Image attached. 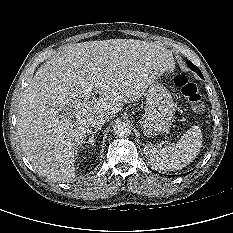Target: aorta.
Returning a JSON list of instances; mask_svg holds the SVG:
<instances>
[{
    "instance_id": "1",
    "label": "aorta",
    "mask_w": 233,
    "mask_h": 233,
    "mask_svg": "<svg viewBox=\"0 0 233 233\" xmlns=\"http://www.w3.org/2000/svg\"><path fill=\"white\" fill-rule=\"evenodd\" d=\"M113 130L117 137L124 138L130 135L131 126L126 121H117L113 126Z\"/></svg>"
}]
</instances>
